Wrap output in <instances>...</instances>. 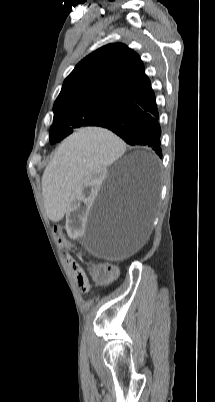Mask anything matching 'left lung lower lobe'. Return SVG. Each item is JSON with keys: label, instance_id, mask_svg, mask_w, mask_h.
I'll return each mask as SVG.
<instances>
[{"label": "left lung lower lobe", "instance_id": "obj_1", "mask_svg": "<svg viewBox=\"0 0 215 402\" xmlns=\"http://www.w3.org/2000/svg\"><path fill=\"white\" fill-rule=\"evenodd\" d=\"M96 126L111 130L130 145L149 146L162 158L159 114L149 79L134 97Z\"/></svg>", "mask_w": 215, "mask_h": 402}]
</instances>
